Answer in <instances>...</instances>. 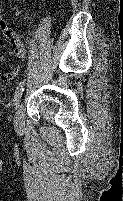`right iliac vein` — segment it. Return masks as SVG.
Masks as SVG:
<instances>
[{
	"label": "right iliac vein",
	"instance_id": "obj_1",
	"mask_svg": "<svg viewBox=\"0 0 123 201\" xmlns=\"http://www.w3.org/2000/svg\"><path fill=\"white\" fill-rule=\"evenodd\" d=\"M14 122H15V126L18 129H21L23 127V104L22 103L18 105Z\"/></svg>",
	"mask_w": 123,
	"mask_h": 201
}]
</instances>
